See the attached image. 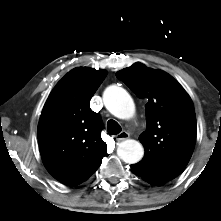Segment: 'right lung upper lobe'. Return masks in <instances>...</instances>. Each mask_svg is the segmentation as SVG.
I'll use <instances>...</instances> for the list:
<instances>
[{"label": "right lung upper lobe", "mask_w": 221, "mask_h": 221, "mask_svg": "<svg viewBox=\"0 0 221 221\" xmlns=\"http://www.w3.org/2000/svg\"><path fill=\"white\" fill-rule=\"evenodd\" d=\"M106 71L81 67L67 73L49 95L38 124L43 163L65 185L86 181L107 156L100 116L90 100Z\"/></svg>", "instance_id": "obj_1"}]
</instances>
